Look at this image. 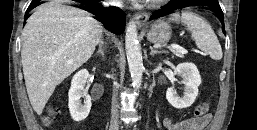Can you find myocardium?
I'll return each mask as SVG.
<instances>
[{"label": "myocardium", "instance_id": "f54148a6", "mask_svg": "<svg viewBox=\"0 0 257 130\" xmlns=\"http://www.w3.org/2000/svg\"><path fill=\"white\" fill-rule=\"evenodd\" d=\"M166 0H149L151 6H157L165 2Z\"/></svg>", "mask_w": 257, "mask_h": 130}]
</instances>
